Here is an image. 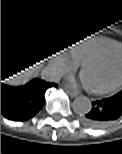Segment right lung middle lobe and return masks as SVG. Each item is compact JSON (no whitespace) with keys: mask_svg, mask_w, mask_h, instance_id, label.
I'll return each mask as SVG.
<instances>
[{"mask_svg":"<svg viewBox=\"0 0 122 154\" xmlns=\"http://www.w3.org/2000/svg\"><path fill=\"white\" fill-rule=\"evenodd\" d=\"M26 27L34 36L39 38L40 44L43 45L42 48L44 50L45 48L44 44L49 40V37H48L49 32L46 29V27L39 23H31V24H28Z\"/></svg>","mask_w":122,"mask_h":154,"instance_id":"right-lung-middle-lobe-1","label":"right lung middle lobe"}]
</instances>
